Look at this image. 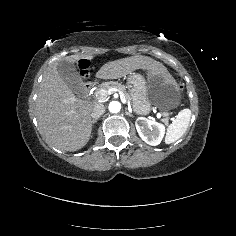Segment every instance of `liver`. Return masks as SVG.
<instances>
[{
    "mask_svg": "<svg viewBox=\"0 0 236 236\" xmlns=\"http://www.w3.org/2000/svg\"><path fill=\"white\" fill-rule=\"evenodd\" d=\"M79 58L81 55L78 54L65 57L70 61ZM141 67H149L152 72L164 71L163 64L149 56H133L104 64L96 77L117 79ZM90 113V103L76 98L60 78L56 63L51 64L40 83L36 99L37 120L46 140L65 151L82 148L90 136Z\"/></svg>",
    "mask_w": 236,
    "mask_h": 236,
    "instance_id": "6515ba94",
    "label": "liver"
}]
</instances>
